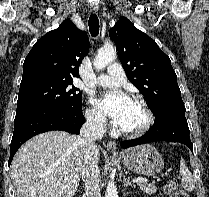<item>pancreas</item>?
Segmentation results:
<instances>
[{"label":"pancreas","instance_id":"obj_1","mask_svg":"<svg viewBox=\"0 0 209 197\" xmlns=\"http://www.w3.org/2000/svg\"><path fill=\"white\" fill-rule=\"evenodd\" d=\"M140 189L143 190L146 194H154L156 192L155 183L152 182L150 184L147 183H139Z\"/></svg>","mask_w":209,"mask_h":197}]
</instances>
